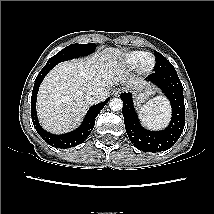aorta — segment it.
<instances>
[{
    "label": "aorta",
    "instance_id": "1",
    "mask_svg": "<svg viewBox=\"0 0 214 214\" xmlns=\"http://www.w3.org/2000/svg\"><path fill=\"white\" fill-rule=\"evenodd\" d=\"M109 106L112 111L116 112L122 109L123 102L120 98H113L112 100H110Z\"/></svg>",
    "mask_w": 214,
    "mask_h": 214
}]
</instances>
